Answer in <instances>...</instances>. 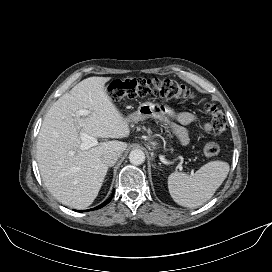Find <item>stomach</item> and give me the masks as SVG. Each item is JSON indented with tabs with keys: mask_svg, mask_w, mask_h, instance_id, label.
I'll return each mask as SVG.
<instances>
[{
	"mask_svg": "<svg viewBox=\"0 0 272 272\" xmlns=\"http://www.w3.org/2000/svg\"><path fill=\"white\" fill-rule=\"evenodd\" d=\"M175 115L173 109L164 103L145 102L139 105L137 110L126 117L128 122L143 121L153 118L168 128L169 118Z\"/></svg>",
	"mask_w": 272,
	"mask_h": 272,
	"instance_id": "1",
	"label": "stomach"
}]
</instances>
